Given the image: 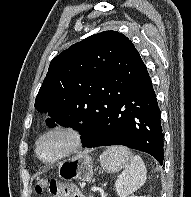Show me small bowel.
I'll return each instance as SVG.
<instances>
[{
	"mask_svg": "<svg viewBox=\"0 0 191 197\" xmlns=\"http://www.w3.org/2000/svg\"><path fill=\"white\" fill-rule=\"evenodd\" d=\"M54 197H82L81 194L74 188L66 189L65 192L54 195Z\"/></svg>",
	"mask_w": 191,
	"mask_h": 197,
	"instance_id": "1",
	"label": "small bowel"
}]
</instances>
